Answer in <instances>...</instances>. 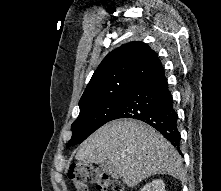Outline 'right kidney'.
Segmentation results:
<instances>
[{
  "label": "right kidney",
  "mask_w": 221,
  "mask_h": 191,
  "mask_svg": "<svg viewBox=\"0 0 221 191\" xmlns=\"http://www.w3.org/2000/svg\"><path fill=\"white\" fill-rule=\"evenodd\" d=\"M140 191H165V184L161 179L153 180L146 184Z\"/></svg>",
  "instance_id": "ca27d5eb"
}]
</instances>
